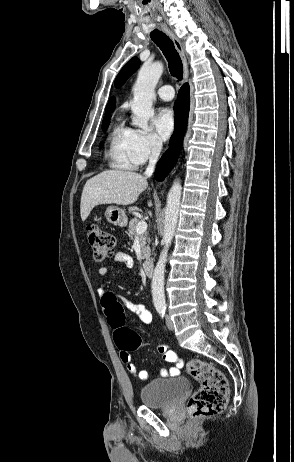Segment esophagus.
<instances>
[{"label":"esophagus","instance_id":"34e87169","mask_svg":"<svg viewBox=\"0 0 294 462\" xmlns=\"http://www.w3.org/2000/svg\"><path fill=\"white\" fill-rule=\"evenodd\" d=\"M161 29L173 41L174 46L181 57V60L183 63V71H184L183 81L185 82L188 78V65H187L184 45L166 25H161Z\"/></svg>","mask_w":294,"mask_h":462}]
</instances>
